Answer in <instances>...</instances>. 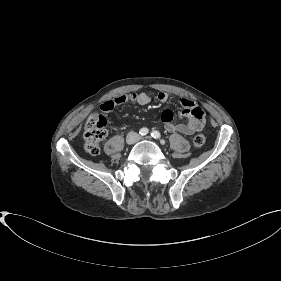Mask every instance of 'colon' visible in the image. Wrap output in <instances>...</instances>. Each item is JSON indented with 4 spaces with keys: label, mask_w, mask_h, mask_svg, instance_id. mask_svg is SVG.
Wrapping results in <instances>:
<instances>
[{
    "label": "colon",
    "mask_w": 281,
    "mask_h": 281,
    "mask_svg": "<svg viewBox=\"0 0 281 281\" xmlns=\"http://www.w3.org/2000/svg\"><path fill=\"white\" fill-rule=\"evenodd\" d=\"M109 115L105 112H95L87 120L84 130L85 150L91 155H98L100 142L107 135ZM195 147H202L205 144V136L197 134L193 138Z\"/></svg>",
    "instance_id": "1"
}]
</instances>
